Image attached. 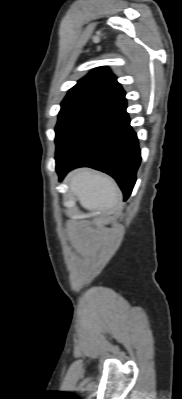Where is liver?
<instances>
[{
  "label": "liver",
  "instance_id": "6515ba94",
  "mask_svg": "<svg viewBox=\"0 0 182 399\" xmlns=\"http://www.w3.org/2000/svg\"><path fill=\"white\" fill-rule=\"evenodd\" d=\"M71 191L81 206L87 210L105 212L120 199V191L113 179L89 169L75 172L69 179Z\"/></svg>",
  "mask_w": 182,
  "mask_h": 399
}]
</instances>
